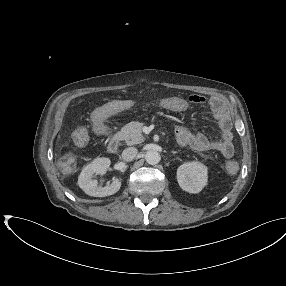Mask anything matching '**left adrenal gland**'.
Listing matches in <instances>:
<instances>
[{"instance_id":"1","label":"left adrenal gland","mask_w":286,"mask_h":286,"mask_svg":"<svg viewBox=\"0 0 286 286\" xmlns=\"http://www.w3.org/2000/svg\"><path fill=\"white\" fill-rule=\"evenodd\" d=\"M176 153H178V152H177V151H173V152H172L173 155L176 154Z\"/></svg>"}]
</instances>
